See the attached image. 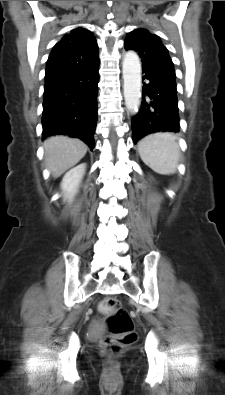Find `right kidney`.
Here are the masks:
<instances>
[{
    "label": "right kidney",
    "mask_w": 225,
    "mask_h": 395,
    "mask_svg": "<svg viewBox=\"0 0 225 395\" xmlns=\"http://www.w3.org/2000/svg\"><path fill=\"white\" fill-rule=\"evenodd\" d=\"M86 164H80L69 170L61 182V189L64 192V200H71L77 193L81 180L85 174Z\"/></svg>",
    "instance_id": "right-kidney-1"
}]
</instances>
